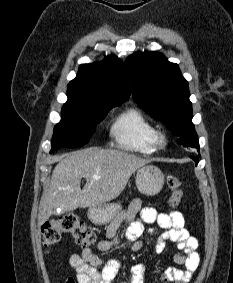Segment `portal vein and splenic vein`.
Here are the masks:
<instances>
[{"label": "portal vein and splenic vein", "instance_id": "portal-vein-and-splenic-vein-1", "mask_svg": "<svg viewBox=\"0 0 233 283\" xmlns=\"http://www.w3.org/2000/svg\"><path fill=\"white\" fill-rule=\"evenodd\" d=\"M100 177H98V176H93V179H99Z\"/></svg>", "mask_w": 233, "mask_h": 283}]
</instances>
